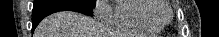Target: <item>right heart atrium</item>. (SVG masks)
Masks as SVG:
<instances>
[{
	"mask_svg": "<svg viewBox=\"0 0 219 37\" xmlns=\"http://www.w3.org/2000/svg\"><path fill=\"white\" fill-rule=\"evenodd\" d=\"M93 10L95 16L103 22L108 23L113 18L112 8L107 0H97Z\"/></svg>",
	"mask_w": 219,
	"mask_h": 37,
	"instance_id": "right-heart-atrium-1",
	"label": "right heart atrium"
}]
</instances>
